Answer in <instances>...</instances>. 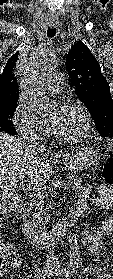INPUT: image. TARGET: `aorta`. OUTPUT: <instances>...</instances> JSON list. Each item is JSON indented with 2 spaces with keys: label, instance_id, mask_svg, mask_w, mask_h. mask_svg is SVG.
<instances>
[{
  "label": "aorta",
  "instance_id": "obj_1",
  "mask_svg": "<svg viewBox=\"0 0 113 279\" xmlns=\"http://www.w3.org/2000/svg\"><path fill=\"white\" fill-rule=\"evenodd\" d=\"M57 64V60L53 55H49L44 57V59L41 62V66L44 70L50 71L53 69ZM24 94L32 99L36 106L35 110L40 114H45L49 111L50 107V101L47 96L38 97L33 91L26 90V88H23ZM68 242H69V267L75 268L80 261V247L78 243L77 235L69 231L68 232Z\"/></svg>",
  "mask_w": 113,
  "mask_h": 279
}]
</instances>
